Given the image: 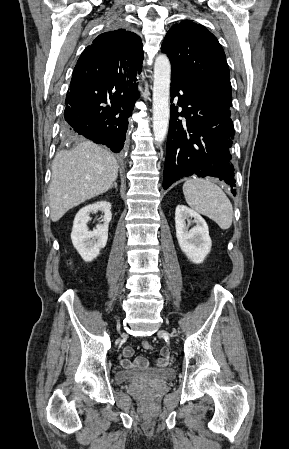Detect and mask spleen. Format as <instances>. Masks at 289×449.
I'll list each match as a JSON object with an SVG mask.
<instances>
[{
  "mask_svg": "<svg viewBox=\"0 0 289 449\" xmlns=\"http://www.w3.org/2000/svg\"><path fill=\"white\" fill-rule=\"evenodd\" d=\"M183 194L192 209L215 221L222 230L230 228L233 207L218 185L207 179H188L183 184Z\"/></svg>",
  "mask_w": 289,
  "mask_h": 449,
  "instance_id": "spleen-1",
  "label": "spleen"
}]
</instances>
